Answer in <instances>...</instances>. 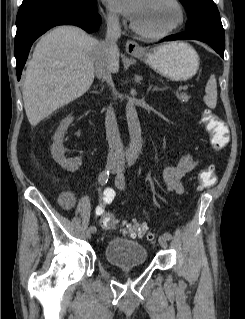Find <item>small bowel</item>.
I'll use <instances>...</instances> for the list:
<instances>
[{
	"label": "small bowel",
	"mask_w": 245,
	"mask_h": 319,
	"mask_svg": "<svg viewBox=\"0 0 245 319\" xmlns=\"http://www.w3.org/2000/svg\"><path fill=\"white\" fill-rule=\"evenodd\" d=\"M195 166L196 162L190 156H182L177 161V163L166 166L163 170V179L168 191L174 192L179 195L183 194L184 188L181 183V179L187 173L191 172L195 168ZM113 196L115 197V192L112 189L110 197ZM108 204H110V202L106 201L104 195L102 203L95 208L96 216L102 215L105 211V206Z\"/></svg>",
	"instance_id": "small-bowel-1"
}]
</instances>
